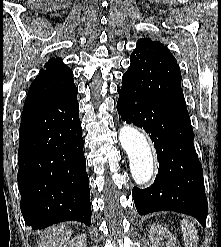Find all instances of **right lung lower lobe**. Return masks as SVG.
<instances>
[{
    "instance_id": "1",
    "label": "right lung lower lobe",
    "mask_w": 221,
    "mask_h": 247,
    "mask_svg": "<svg viewBox=\"0 0 221 247\" xmlns=\"http://www.w3.org/2000/svg\"><path fill=\"white\" fill-rule=\"evenodd\" d=\"M77 92L22 112L17 180L22 215L34 230L63 221L91 223Z\"/></svg>"
}]
</instances>
